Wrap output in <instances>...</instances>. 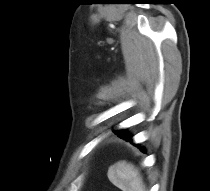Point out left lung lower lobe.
Returning a JSON list of instances; mask_svg holds the SVG:
<instances>
[{"mask_svg":"<svg viewBox=\"0 0 210 191\" xmlns=\"http://www.w3.org/2000/svg\"><path fill=\"white\" fill-rule=\"evenodd\" d=\"M120 138H123V139H125L126 141L132 142V141H131V136H128L127 134H126V135H123V136H120ZM137 146H138V145H137ZM138 148H139L142 152H145V150H144L143 148H141V147H139V146H138Z\"/></svg>","mask_w":210,"mask_h":191,"instance_id":"1","label":"left lung lower lobe"}]
</instances>
